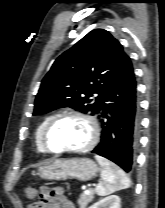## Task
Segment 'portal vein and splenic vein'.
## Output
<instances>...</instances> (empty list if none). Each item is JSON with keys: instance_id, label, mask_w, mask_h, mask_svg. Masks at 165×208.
I'll use <instances>...</instances> for the list:
<instances>
[{"instance_id": "obj_1", "label": "portal vein and splenic vein", "mask_w": 165, "mask_h": 208, "mask_svg": "<svg viewBox=\"0 0 165 208\" xmlns=\"http://www.w3.org/2000/svg\"><path fill=\"white\" fill-rule=\"evenodd\" d=\"M84 193L88 195V194L90 193V190L86 189V190L84 191Z\"/></svg>"}]
</instances>
